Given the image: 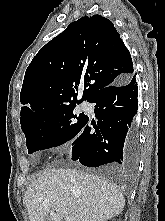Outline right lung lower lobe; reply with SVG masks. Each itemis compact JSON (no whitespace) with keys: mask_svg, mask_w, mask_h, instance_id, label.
<instances>
[{"mask_svg":"<svg viewBox=\"0 0 165 221\" xmlns=\"http://www.w3.org/2000/svg\"><path fill=\"white\" fill-rule=\"evenodd\" d=\"M89 102L96 103L97 126L91 132L89 118L72 143V160L89 167L116 164L132 170L139 154L138 83L134 74L126 81L97 91Z\"/></svg>","mask_w":165,"mask_h":221,"instance_id":"obj_1","label":"right lung lower lobe"}]
</instances>
